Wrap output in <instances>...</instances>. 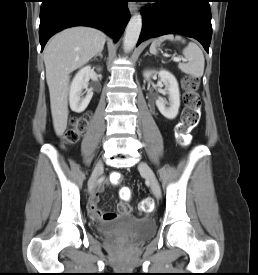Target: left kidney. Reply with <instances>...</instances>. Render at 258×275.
<instances>
[{
    "mask_svg": "<svg viewBox=\"0 0 258 275\" xmlns=\"http://www.w3.org/2000/svg\"><path fill=\"white\" fill-rule=\"evenodd\" d=\"M152 74L159 75L161 81L165 84V90L169 94V103L165 99L160 98L155 101L156 106L160 113L167 119L176 118L180 107V92L175 76L165 69H161L160 71L147 70L144 71L143 76L149 80Z\"/></svg>",
    "mask_w": 258,
    "mask_h": 275,
    "instance_id": "obj_1",
    "label": "left kidney"
}]
</instances>
